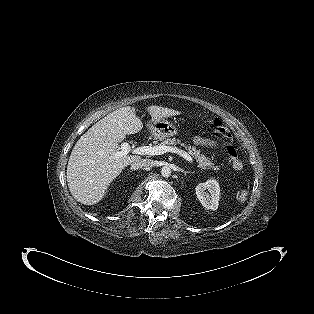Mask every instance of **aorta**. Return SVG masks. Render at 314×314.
I'll return each instance as SVG.
<instances>
[{
  "mask_svg": "<svg viewBox=\"0 0 314 314\" xmlns=\"http://www.w3.org/2000/svg\"><path fill=\"white\" fill-rule=\"evenodd\" d=\"M161 175L165 178H168L171 175V169L169 166H164L161 169Z\"/></svg>",
  "mask_w": 314,
  "mask_h": 314,
  "instance_id": "1",
  "label": "aorta"
}]
</instances>
